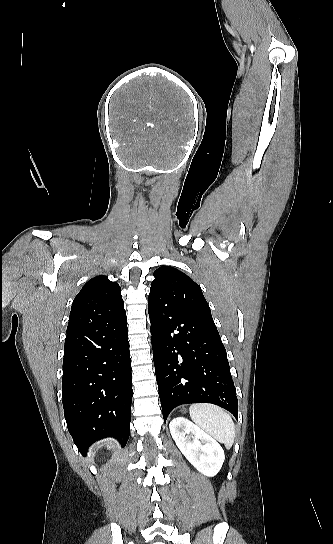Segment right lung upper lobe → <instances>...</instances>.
<instances>
[{"mask_svg":"<svg viewBox=\"0 0 333 544\" xmlns=\"http://www.w3.org/2000/svg\"><path fill=\"white\" fill-rule=\"evenodd\" d=\"M120 292V286L106 276H96L89 280L73 301L67 333L124 314Z\"/></svg>","mask_w":333,"mask_h":544,"instance_id":"right-lung-upper-lobe-1","label":"right lung upper lobe"}]
</instances>
